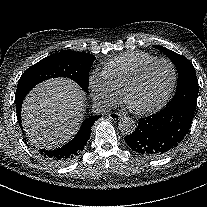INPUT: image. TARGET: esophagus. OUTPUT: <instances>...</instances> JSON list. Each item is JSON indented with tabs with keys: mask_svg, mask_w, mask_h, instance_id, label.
Masks as SVG:
<instances>
[{
	"mask_svg": "<svg viewBox=\"0 0 207 207\" xmlns=\"http://www.w3.org/2000/svg\"><path fill=\"white\" fill-rule=\"evenodd\" d=\"M108 117L111 120H119L121 118V114L120 113H117V112H112V113H109L108 114Z\"/></svg>",
	"mask_w": 207,
	"mask_h": 207,
	"instance_id": "34e87169",
	"label": "esophagus"
}]
</instances>
